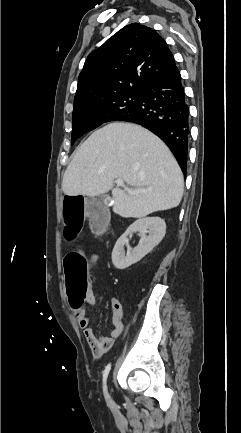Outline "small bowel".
<instances>
[{"label":"small bowel","instance_id":"small-bowel-1","mask_svg":"<svg viewBox=\"0 0 241 433\" xmlns=\"http://www.w3.org/2000/svg\"><path fill=\"white\" fill-rule=\"evenodd\" d=\"M98 261V255L97 254H91L89 256V265L90 268H94ZM86 301L90 305L96 304V298L94 296V293L92 290H90V293L86 299ZM111 308H112V325L113 328L110 332L109 336H97L94 333L93 328L90 325V320L86 315V311L83 308L81 312H73V315L75 319L77 320V323L79 327L83 330L85 339L96 358H100L105 354L113 345L115 339H117L124 330V324H123V307L120 303L119 299L115 296L111 298Z\"/></svg>","mask_w":241,"mask_h":433}]
</instances>
